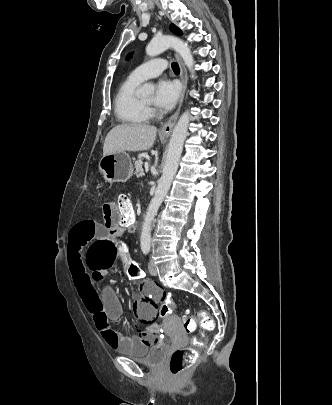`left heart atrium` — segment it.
<instances>
[{
    "instance_id": "obj_1",
    "label": "left heart atrium",
    "mask_w": 332,
    "mask_h": 405,
    "mask_svg": "<svg viewBox=\"0 0 332 405\" xmlns=\"http://www.w3.org/2000/svg\"><path fill=\"white\" fill-rule=\"evenodd\" d=\"M180 88L177 82L160 80L156 86L154 103L161 109H171L177 102Z\"/></svg>"
}]
</instances>
